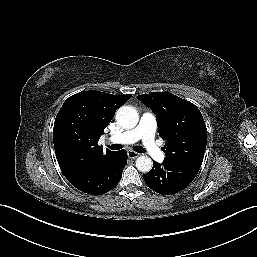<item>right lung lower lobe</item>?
<instances>
[{"label": "right lung lower lobe", "mask_w": 257, "mask_h": 257, "mask_svg": "<svg viewBox=\"0 0 257 257\" xmlns=\"http://www.w3.org/2000/svg\"><path fill=\"white\" fill-rule=\"evenodd\" d=\"M127 158L125 150L115 151L97 161L89 170L65 177L78 190L92 195H101L117 186L127 164Z\"/></svg>", "instance_id": "obj_1"}]
</instances>
